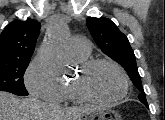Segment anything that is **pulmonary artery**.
<instances>
[{
	"instance_id": "e3ab8cb5",
	"label": "pulmonary artery",
	"mask_w": 165,
	"mask_h": 120,
	"mask_svg": "<svg viewBox=\"0 0 165 120\" xmlns=\"http://www.w3.org/2000/svg\"><path fill=\"white\" fill-rule=\"evenodd\" d=\"M66 50L73 58H85L90 54L91 47L87 39L74 36L67 43Z\"/></svg>"
}]
</instances>
